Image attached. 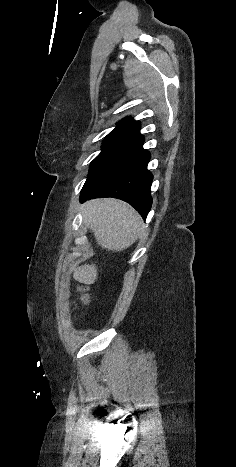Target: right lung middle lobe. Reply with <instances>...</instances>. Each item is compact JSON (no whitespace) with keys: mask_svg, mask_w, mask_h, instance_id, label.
I'll return each mask as SVG.
<instances>
[{"mask_svg":"<svg viewBox=\"0 0 236 467\" xmlns=\"http://www.w3.org/2000/svg\"><path fill=\"white\" fill-rule=\"evenodd\" d=\"M140 135L136 132L114 129L110 132L103 142L101 153L92 161L90 172L107 160L110 156L120 150L122 147L132 142Z\"/></svg>","mask_w":236,"mask_h":467,"instance_id":"obj_1","label":"right lung middle lobe"}]
</instances>
